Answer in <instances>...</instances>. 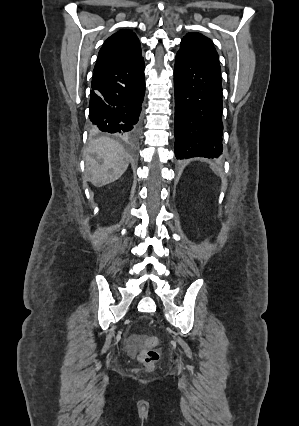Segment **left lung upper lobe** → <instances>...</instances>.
<instances>
[{
  "instance_id": "5c2ea615",
  "label": "left lung upper lobe",
  "mask_w": 299,
  "mask_h": 426,
  "mask_svg": "<svg viewBox=\"0 0 299 426\" xmlns=\"http://www.w3.org/2000/svg\"><path fill=\"white\" fill-rule=\"evenodd\" d=\"M181 50L207 59L213 66L221 71L218 54L212 41L200 33H188L181 40Z\"/></svg>"
}]
</instances>
